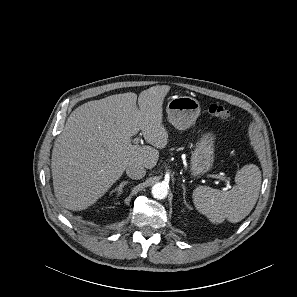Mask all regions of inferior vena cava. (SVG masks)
Listing matches in <instances>:
<instances>
[{
    "label": "inferior vena cava",
    "mask_w": 297,
    "mask_h": 297,
    "mask_svg": "<svg viewBox=\"0 0 297 297\" xmlns=\"http://www.w3.org/2000/svg\"><path fill=\"white\" fill-rule=\"evenodd\" d=\"M126 174L131 179H141L146 174V169L140 165H130L126 168Z\"/></svg>",
    "instance_id": "602c4592"
}]
</instances>
